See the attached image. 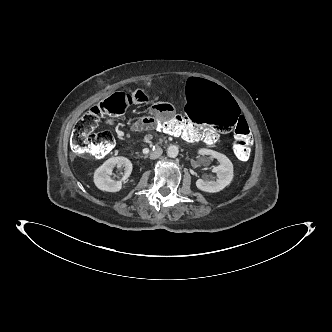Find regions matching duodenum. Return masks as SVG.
Returning <instances> with one entry per match:
<instances>
[{
	"label": "duodenum",
	"mask_w": 332,
	"mask_h": 332,
	"mask_svg": "<svg viewBox=\"0 0 332 332\" xmlns=\"http://www.w3.org/2000/svg\"><path fill=\"white\" fill-rule=\"evenodd\" d=\"M156 120H157V118H153V119L151 120V123L154 125V123H155ZM184 138H185L187 141H191L190 133H185V134H184ZM208 138L211 139L210 136H209Z\"/></svg>",
	"instance_id": "obj_1"
}]
</instances>
